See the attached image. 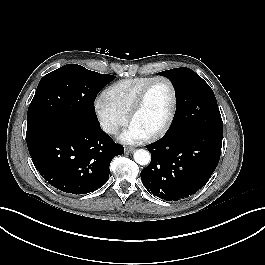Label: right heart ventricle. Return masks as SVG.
<instances>
[{
  "mask_svg": "<svg viewBox=\"0 0 265 265\" xmlns=\"http://www.w3.org/2000/svg\"><path fill=\"white\" fill-rule=\"evenodd\" d=\"M152 78L144 76L117 81L104 91L103 98L120 113L128 116L137 95Z\"/></svg>",
  "mask_w": 265,
  "mask_h": 265,
  "instance_id": "1",
  "label": "right heart ventricle"
}]
</instances>
